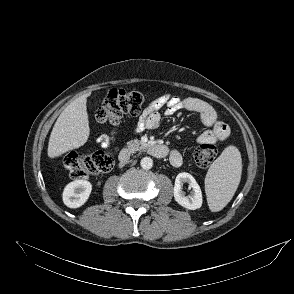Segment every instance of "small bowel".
Wrapping results in <instances>:
<instances>
[{
    "mask_svg": "<svg viewBox=\"0 0 294 294\" xmlns=\"http://www.w3.org/2000/svg\"><path fill=\"white\" fill-rule=\"evenodd\" d=\"M162 109H164V114L166 115H173L182 110L198 113L201 122L208 128L198 136V143L213 144L223 141L229 136L230 130L228 125L218 120L216 111L209 103L199 98H180L170 94L161 95L149 103L138 119L135 132L140 133L146 129L153 130L158 128L161 122ZM97 142L104 148L110 146V140L107 135L98 137ZM169 159L175 167H179L183 163L182 155L177 150L171 151Z\"/></svg>",
    "mask_w": 294,
    "mask_h": 294,
    "instance_id": "1",
    "label": "small bowel"
}]
</instances>
